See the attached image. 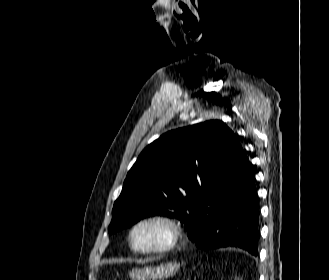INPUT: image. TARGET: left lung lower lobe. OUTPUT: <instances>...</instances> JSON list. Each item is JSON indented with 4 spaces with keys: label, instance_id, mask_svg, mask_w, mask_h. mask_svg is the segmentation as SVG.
I'll use <instances>...</instances> for the list:
<instances>
[{
    "label": "left lung lower lobe",
    "instance_id": "0a47b994",
    "mask_svg": "<svg viewBox=\"0 0 329 280\" xmlns=\"http://www.w3.org/2000/svg\"><path fill=\"white\" fill-rule=\"evenodd\" d=\"M233 162V180L205 199L197 229L188 230V236L198 248L236 247L257 256L259 208L252 164L242 149Z\"/></svg>",
    "mask_w": 329,
    "mask_h": 280
}]
</instances>
